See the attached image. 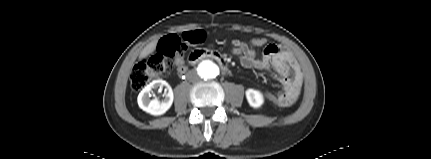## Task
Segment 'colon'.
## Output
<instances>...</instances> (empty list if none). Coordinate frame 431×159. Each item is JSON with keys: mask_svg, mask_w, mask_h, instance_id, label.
Masks as SVG:
<instances>
[{"mask_svg": "<svg viewBox=\"0 0 431 159\" xmlns=\"http://www.w3.org/2000/svg\"><path fill=\"white\" fill-rule=\"evenodd\" d=\"M203 37L202 31H191L183 33L181 36L171 34L161 39L157 53L141 60L134 66L130 76L131 87L136 91L141 90L149 82L171 71L175 59L182 58L188 46L202 42ZM244 52L245 49L242 46L227 50L231 56L242 55ZM265 97L271 102V99L276 96L272 95V92H268L265 93Z\"/></svg>", "mask_w": 431, "mask_h": 159, "instance_id": "1", "label": "colon"}]
</instances>
